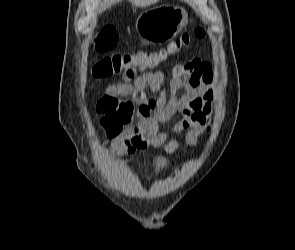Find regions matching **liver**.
Listing matches in <instances>:
<instances>
[{
	"instance_id": "1",
	"label": "liver",
	"mask_w": 295,
	"mask_h": 250,
	"mask_svg": "<svg viewBox=\"0 0 295 250\" xmlns=\"http://www.w3.org/2000/svg\"><path fill=\"white\" fill-rule=\"evenodd\" d=\"M158 0H131L132 4L138 7H147L154 3H156Z\"/></svg>"
}]
</instances>
